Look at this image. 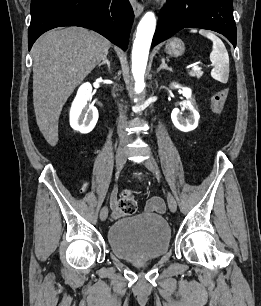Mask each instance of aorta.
Returning a JSON list of instances; mask_svg holds the SVG:
<instances>
[{"label": "aorta", "mask_w": 261, "mask_h": 306, "mask_svg": "<svg viewBox=\"0 0 261 306\" xmlns=\"http://www.w3.org/2000/svg\"><path fill=\"white\" fill-rule=\"evenodd\" d=\"M155 27L156 18L153 12H147L137 27L132 50V74L136 93H141L145 87L144 74Z\"/></svg>", "instance_id": "obj_1"}]
</instances>
